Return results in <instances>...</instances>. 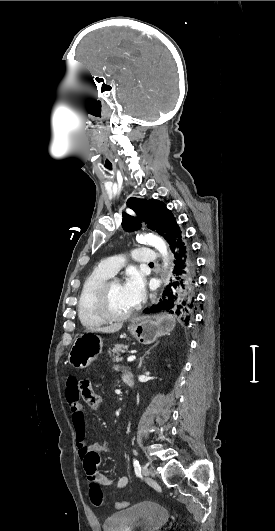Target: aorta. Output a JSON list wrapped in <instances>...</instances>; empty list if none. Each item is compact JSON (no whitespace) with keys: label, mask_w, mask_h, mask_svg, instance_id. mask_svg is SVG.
Here are the masks:
<instances>
[{"label":"aorta","mask_w":275,"mask_h":531,"mask_svg":"<svg viewBox=\"0 0 275 531\" xmlns=\"http://www.w3.org/2000/svg\"><path fill=\"white\" fill-rule=\"evenodd\" d=\"M146 239H148L150 245L152 247H155L159 253H161L164 261V267H167V257H168V251H167V245L161 237H156V235H146Z\"/></svg>","instance_id":"762f6f07"}]
</instances>
